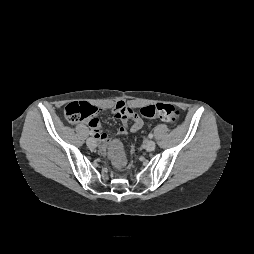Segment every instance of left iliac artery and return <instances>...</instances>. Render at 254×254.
I'll return each mask as SVG.
<instances>
[{
    "label": "left iliac artery",
    "mask_w": 254,
    "mask_h": 254,
    "mask_svg": "<svg viewBox=\"0 0 254 254\" xmlns=\"http://www.w3.org/2000/svg\"><path fill=\"white\" fill-rule=\"evenodd\" d=\"M148 137H149V138H153V134L150 133V134L148 135Z\"/></svg>",
    "instance_id": "obj_1"
}]
</instances>
